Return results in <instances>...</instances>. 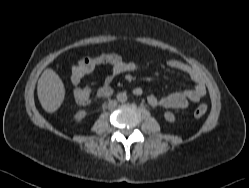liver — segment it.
<instances>
[{
	"label": "liver",
	"instance_id": "1",
	"mask_svg": "<svg viewBox=\"0 0 249 188\" xmlns=\"http://www.w3.org/2000/svg\"><path fill=\"white\" fill-rule=\"evenodd\" d=\"M38 99L42 108L53 113L59 109L65 98V87L62 79L51 68L43 71L37 84Z\"/></svg>",
	"mask_w": 249,
	"mask_h": 188
}]
</instances>
